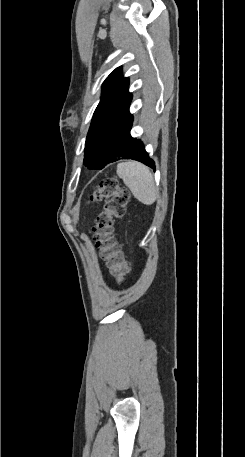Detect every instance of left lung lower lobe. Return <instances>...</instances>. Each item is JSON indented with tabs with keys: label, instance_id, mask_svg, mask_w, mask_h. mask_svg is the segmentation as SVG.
I'll use <instances>...</instances> for the list:
<instances>
[{
	"label": "left lung lower lobe",
	"instance_id": "obj_1",
	"mask_svg": "<svg viewBox=\"0 0 245 457\" xmlns=\"http://www.w3.org/2000/svg\"><path fill=\"white\" fill-rule=\"evenodd\" d=\"M132 123V115L126 112L90 130L85 143L84 165L89 169H102L120 159H133L155 170V163L143 143L130 135Z\"/></svg>",
	"mask_w": 245,
	"mask_h": 457
}]
</instances>
